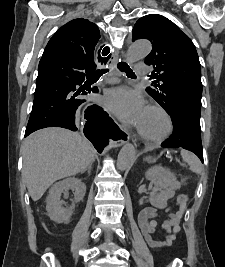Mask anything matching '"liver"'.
I'll use <instances>...</instances> for the list:
<instances>
[{
	"label": "liver",
	"instance_id": "liver-1",
	"mask_svg": "<svg viewBox=\"0 0 225 267\" xmlns=\"http://www.w3.org/2000/svg\"><path fill=\"white\" fill-rule=\"evenodd\" d=\"M22 154V177L33 201L55 181L86 170L94 159L93 147L85 138L62 128L34 132L23 142Z\"/></svg>",
	"mask_w": 225,
	"mask_h": 267
}]
</instances>
